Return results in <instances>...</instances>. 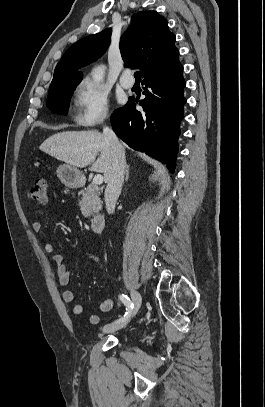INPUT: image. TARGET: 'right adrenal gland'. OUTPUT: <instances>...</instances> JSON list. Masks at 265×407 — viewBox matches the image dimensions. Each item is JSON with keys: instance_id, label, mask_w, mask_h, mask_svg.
<instances>
[{"instance_id": "right-adrenal-gland-1", "label": "right adrenal gland", "mask_w": 265, "mask_h": 407, "mask_svg": "<svg viewBox=\"0 0 265 407\" xmlns=\"http://www.w3.org/2000/svg\"><path fill=\"white\" fill-rule=\"evenodd\" d=\"M129 179V165L126 166V176H125V180L128 181Z\"/></svg>"}]
</instances>
